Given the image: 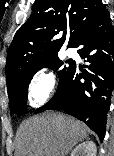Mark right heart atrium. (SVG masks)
Segmentation results:
<instances>
[{
    "label": "right heart atrium",
    "mask_w": 114,
    "mask_h": 156,
    "mask_svg": "<svg viewBox=\"0 0 114 156\" xmlns=\"http://www.w3.org/2000/svg\"><path fill=\"white\" fill-rule=\"evenodd\" d=\"M57 76L50 68L37 70L28 83V101L33 107L45 104L55 93Z\"/></svg>",
    "instance_id": "d8ad5b80"
}]
</instances>
